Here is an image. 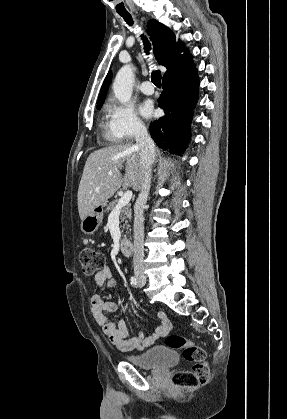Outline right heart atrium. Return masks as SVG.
<instances>
[{
  "label": "right heart atrium",
  "mask_w": 287,
  "mask_h": 419,
  "mask_svg": "<svg viewBox=\"0 0 287 419\" xmlns=\"http://www.w3.org/2000/svg\"><path fill=\"white\" fill-rule=\"evenodd\" d=\"M109 112L111 130L119 140H130L143 132V122L131 104L114 102Z\"/></svg>",
  "instance_id": "obj_1"
}]
</instances>
